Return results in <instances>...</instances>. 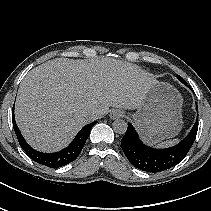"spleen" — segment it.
I'll list each match as a JSON object with an SVG mask.
<instances>
[{
	"label": "spleen",
	"mask_w": 211,
	"mask_h": 211,
	"mask_svg": "<svg viewBox=\"0 0 211 211\" xmlns=\"http://www.w3.org/2000/svg\"><path fill=\"white\" fill-rule=\"evenodd\" d=\"M178 141H179V139L167 140V141H164V142L158 144L157 147H161V148L170 147V146L178 143Z\"/></svg>",
	"instance_id": "spleen-1"
}]
</instances>
